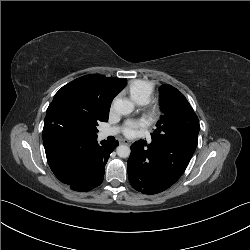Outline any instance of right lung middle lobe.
I'll return each instance as SVG.
<instances>
[{
  "label": "right lung middle lobe",
  "instance_id": "dd1d6c3e",
  "mask_svg": "<svg viewBox=\"0 0 250 250\" xmlns=\"http://www.w3.org/2000/svg\"><path fill=\"white\" fill-rule=\"evenodd\" d=\"M55 129L72 138H96L99 121H108L109 111L93 104L82 83L70 82L62 87L50 104Z\"/></svg>",
  "mask_w": 250,
  "mask_h": 250
}]
</instances>
